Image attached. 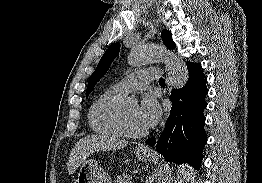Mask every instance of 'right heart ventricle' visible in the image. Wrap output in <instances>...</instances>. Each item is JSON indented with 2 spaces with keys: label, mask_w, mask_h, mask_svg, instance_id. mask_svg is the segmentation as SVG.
Here are the masks:
<instances>
[{
  "label": "right heart ventricle",
  "mask_w": 262,
  "mask_h": 183,
  "mask_svg": "<svg viewBox=\"0 0 262 183\" xmlns=\"http://www.w3.org/2000/svg\"><path fill=\"white\" fill-rule=\"evenodd\" d=\"M123 97V94L111 88L92 104L88 113V122L96 134L109 138L125 136L120 125Z\"/></svg>",
  "instance_id": "right-heart-ventricle-1"
}]
</instances>
